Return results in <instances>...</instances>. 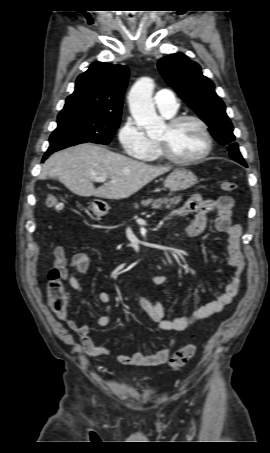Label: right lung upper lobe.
<instances>
[{
    "instance_id": "cb5924a9",
    "label": "right lung upper lobe",
    "mask_w": 270,
    "mask_h": 453,
    "mask_svg": "<svg viewBox=\"0 0 270 453\" xmlns=\"http://www.w3.org/2000/svg\"><path fill=\"white\" fill-rule=\"evenodd\" d=\"M129 71L126 66L95 62L79 75L58 117L92 112L121 117L122 97Z\"/></svg>"
}]
</instances>
